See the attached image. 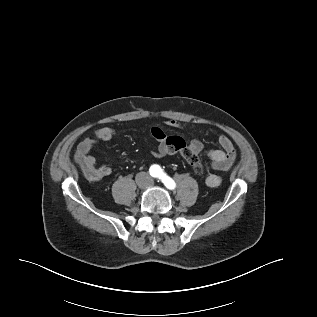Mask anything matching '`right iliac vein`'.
Segmentation results:
<instances>
[{"instance_id": "obj_1", "label": "right iliac vein", "mask_w": 317, "mask_h": 317, "mask_svg": "<svg viewBox=\"0 0 317 317\" xmlns=\"http://www.w3.org/2000/svg\"><path fill=\"white\" fill-rule=\"evenodd\" d=\"M138 186H139V188H144L145 187V181L143 179H139Z\"/></svg>"}]
</instances>
